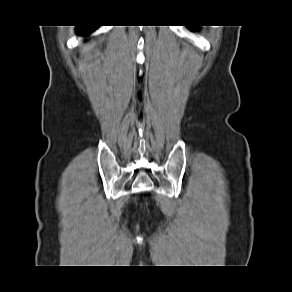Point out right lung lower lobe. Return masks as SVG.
<instances>
[{
    "label": "right lung lower lobe",
    "instance_id": "right-lung-lower-lobe-1",
    "mask_svg": "<svg viewBox=\"0 0 292 292\" xmlns=\"http://www.w3.org/2000/svg\"><path fill=\"white\" fill-rule=\"evenodd\" d=\"M96 28L97 26H80L78 27L79 31L77 33L86 36L89 32L94 31Z\"/></svg>",
    "mask_w": 292,
    "mask_h": 292
}]
</instances>
